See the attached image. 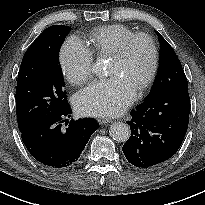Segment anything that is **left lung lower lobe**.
Returning a JSON list of instances; mask_svg holds the SVG:
<instances>
[{
    "mask_svg": "<svg viewBox=\"0 0 205 205\" xmlns=\"http://www.w3.org/2000/svg\"><path fill=\"white\" fill-rule=\"evenodd\" d=\"M131 136L123 153L132 165L152 168L171 158L188 128L190 97L187 81L172 91L145 99L131 111Z\"/></svg>",
    "mask_w": 205,
    "mask_h": 205,
    "instance_id": "0a47b994",
    "label": "left lung lower lobe"
}]
</instances>
